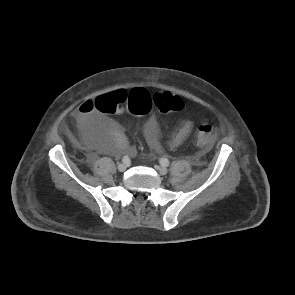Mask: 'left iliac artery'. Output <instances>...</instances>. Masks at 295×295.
<instances>
[{
	"instance_id": "obj_1",
	"label": "left iliac artery",
	"mask_w": 295,
	"mask_h": 295,
	"mask_svg": "<svg viewBox=\"0 0 295 295\" xmlns=\"http://www.w3.org/2000/svg\"><path fill=\"white\" fill-rule=\"evenodd\" d=\"M160 164L162 166H169V160L167 158H161L160 159Z\"/></svg>"
}]
</instances>
